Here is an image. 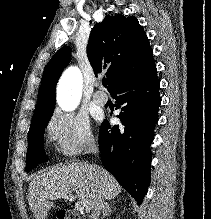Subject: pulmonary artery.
<instances>
[{"mask_svg":"<svg viewBox=\"0 0 211 219\" xmlns=\"http://www.w3.org/2000/svg\"><path fill=\"white\" fill-rule=\"evenodd\" d=\"M108 96L103 91H96L93 95V102L97 105L103 106L107 103Z\"/></svg>","mask_w":211,"mask_h":219,"instance_id":"e3ab8cb5","label":"pulmonary artery"}]
</instances>
